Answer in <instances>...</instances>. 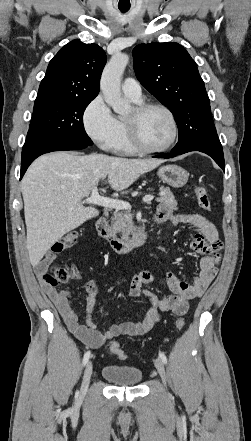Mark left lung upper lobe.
<instances>
[{
  "label": "left lung upper lobe",
  "instance_id": "left-lung-upper-lobe-1",
  "mask_svg": "<svg viewBox=\"0 0 251 441\" xmlns=\"http://www.w3.org/2000/svg\"><path fill=\"white\" fill-rule=\"evenodd\" d=\"M142 86L167 106L178 129L211 116L210 102L195 61L178 43L140 44L133 49Z\"/></svg>",
  "mask_w": 251,
  "mask_h": 441
}]
</instances>
